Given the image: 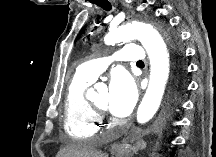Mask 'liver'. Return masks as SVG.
I'll use <instances>...</instances> for the list:
<instances>
[{
	"label": "liver",
	"mask_w": 216,
	"mask_h": 157,
	"mask_svg": "<svg viewBox=\"0 0 216 157\" xmlns=\"http://www.w3.org/2000/svg\"><path fill=\"white\" fill-rule=\"evenodd\" d=\"M57 157H106V154L94 150L87 143L73 142L61 150Z\"/></svg>",
	"instance_id": "liver-1"
}]
</instances>
